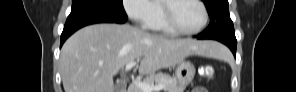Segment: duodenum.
I'll return each instance as SVG.
<instances>
[{
	"instance_id": "1",
	"label": "duodenum",
	"mask_w": 296,
	"mask_h": 92,
	"mask_svg": "<svg viewBox=\"0 0 296 92\" xmlns=\"http://www.w3.org/2000/svg\"><path fill=\"white\" fill-rule=\"evenodd\" d=\"M122 92H132V88L125 89V90L122 91Z\"/></svg>"
}]
</instances>
